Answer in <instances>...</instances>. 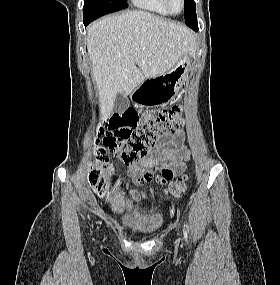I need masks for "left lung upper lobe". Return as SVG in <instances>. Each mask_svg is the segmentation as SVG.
<instances>
[{"label": "left lung upper lobe", "mask_w": 280, "mask_h": 285, "mask_svg": "<svg viewBox=\"0 0 280 285\" xmlns=\"http://www.w3.org/2000/svg\"><path fill=\"white\" fill-rule=\"evenodd\" d=\"M195 6L194 0H184L185 24L190 28L191 26L198 27Z\"/></svg>", "instance_id": "1"}]
</instances>
